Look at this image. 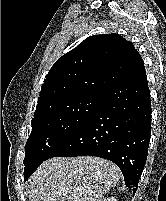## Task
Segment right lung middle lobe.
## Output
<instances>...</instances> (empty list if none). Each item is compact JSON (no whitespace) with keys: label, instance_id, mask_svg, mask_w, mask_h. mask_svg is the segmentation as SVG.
I'll return each mask as SVG.
<instances>
[{"label":"right lung middle lobe","instance_id":"dd1d6c3e","mask_svg":"<svg viewBox=\"0 0 166 201\" xmlns=\"http://www.w3.org/2000/svg\"><path fill=\"white\" fill-rule=\"evenodd\" d=\"M102 95H82L57 103L32 119V132L25 145L24 180L99 105Z\"/></svg>","mask_w":166,"mask_h":201}]
</instances>
